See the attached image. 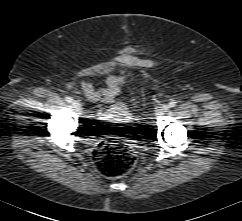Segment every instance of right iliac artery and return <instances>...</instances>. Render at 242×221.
Returning a JSON list of instances; mask_svg holds the SVG:
<instances>
[{
    "mask_svg": "<svg viewBox=\"0 0 242 221\" xmlns=\"http://www.w3.org/2000/svg\"><path fill=\"white\" fill-rule=\"evenodd\" d=\"M72 100H73V99H72L71 97H69V96L65 97V101H67L68 103H71Z\"/></svg>",
    "mask_w": 242,
    "mask_h": 221,
    "instance_id": "82829eb1",
    "label": "right iliac artery"
}]
</instances>
